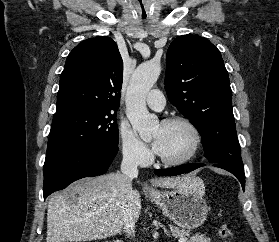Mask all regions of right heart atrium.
<instances>
[{
  "mask_svg": "<svg viewBox=\"0 0 279 242\" xmlns=\"http://www.w3.org/2000/svg\"><path fill=\"white\" fill-rule=\"evenodd\" d=\"M119 145L123 160L131 165L144 166L151 158L149 149L134 134L125 123L118 128Z\"/></svg>",
  "mask_w": 279,
  "mask_h": 242,
  "instance_id": "d8ad5b80",
  "label": "right heart atrium"
}]
</instances>
